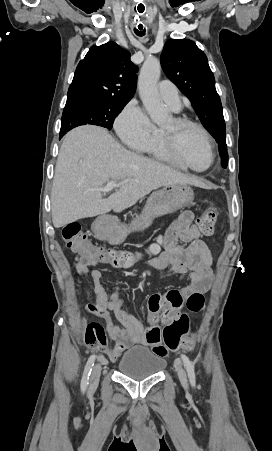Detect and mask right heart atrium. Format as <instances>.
I'll list each match as a JSON object with an SVG mask.
<instances>
[{
    "label": "right heart atrium",
    "instance_id": "1",
    "mask_svg": "<svg viewBox=\"0 0 272 451\" xmlns=\"http://www.w3.org/2000/svg\"><path fill=\"white\" fill-rule=\"evenodd\" d=\"M116 128L121 137L135 147L147 143L156 129L146 111L134 102H130L118 116Z\"/></svg>",
    "mask_w": 272,
    "mask_h": 451
}]
</instances>
